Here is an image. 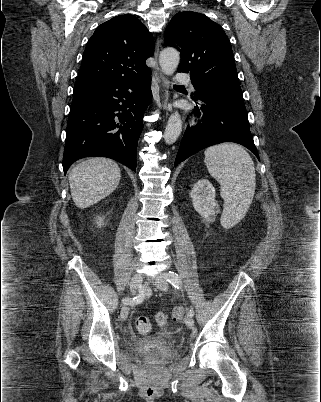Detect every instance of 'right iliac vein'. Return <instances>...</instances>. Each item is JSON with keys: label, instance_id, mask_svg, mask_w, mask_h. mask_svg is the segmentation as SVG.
Wrapping results in <instances>:
<instances>
[{"label": "right iliac vein", "instance_id": "obj_1", "mask_svg": "<svg viewBox=\"0 0 321 402\" xmlns=\"http://www.w3.org/2000/svg\"><path fill=\"white\" fill-rule=\"evenodd\" d=\"M143 277L141 273H136L134 274V276L132 277L131 283H130V291L132 294H135L142 283ZM128 313H129V307L128 304L123 305L122 309H121V318L123 320H126L128 317Z\"/></svg>", "mask_w": 321, "mask_h": 402}]
</instances>
